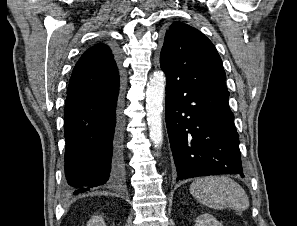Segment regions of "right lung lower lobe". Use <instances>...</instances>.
I'll list each match as a JSON object with an SVG mask.
<instances>
[{
    "label": "right lung lower lobe",
    "mask_w": 297,
    "mask_h": 226,
    "mask_svg": "<svg viewBox=\"0 0 297 226\" xmlns=\"http://www.w3.org/2000/svg\"><path fill=\"white\" fill-rule=\"evenodd\" d=\"M122 81L67 95L65 177L69 194L123 182Z\"/></svg>",
    "instance_id": "98d812e1"
}]
</instances>
